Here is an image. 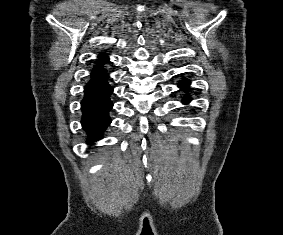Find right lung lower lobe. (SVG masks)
I'll list each match as a JSON object with an SVG mask.
<instances>
[{
	"instance_id": "98d812e1",
	"label": "right lung lower lobe",
	"mask_w": 283,
	"mask_h": 235,
	"mask_svg": "<svg viewBox=\"0 0 283 235\" xmlns=\"http://www.w3.org/2000/svg\"><path fill=\"white\" fill-rule=\"evenodd\" d=\"M107 77L106 71L92 75L85 87V97L81 103V123L93 140L100 139L102 132L111 123L108 112L113 106L109 98L113 88L107 83Z\"/></svg>"
}]
</instances>
